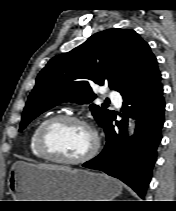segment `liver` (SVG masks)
Wrapping results in <instances>:
<instances>
[{
	"mask_svg": "<svg viewBox=\"0 0 176 211\" xmlns=\"http://www.w3.org/2000/svg\"><path fill=\"white\" fill-rule=\"evenodd\" d=\"M39 167H42V168H67V167H64V166H55V165H47V164H40V165H37Z\"/></svg>",
	"mask_w": 176,
	"mask_h": 211,
	"instance_id": "obj_1",
	"label": "liver"
}]
</instances>
